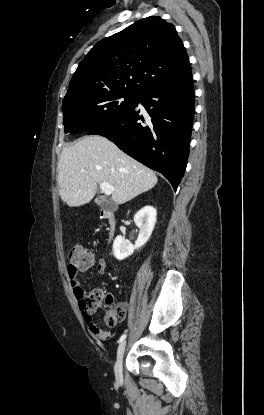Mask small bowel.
Masks as SVG:
<instances>
[{"label": "small bowel", "instance_id": "small-bowel-1", "mask_svg": "<svg viewBox=\"0 0 264 415\" xmlns=\"http://www.w3.org/2000/svg\"><path fill=\"white\" fill-rule=\"evenodd\" d=\"M105 270H106V262L104 260H99L97 262L98 273L102 274L105 272ZM86 271H87V268H80L74 274L69 273V279H70V285L72 288V292L78 300H81L83 297L81 277L82 275L86 273ZM96 326L97 327L91 326V331L96 337L100 339H106L109 337L110 332L108 330L99 327L97 324Z\"/></svg>", "mask_w": 264, "mask_h": 415}]
</instances>
